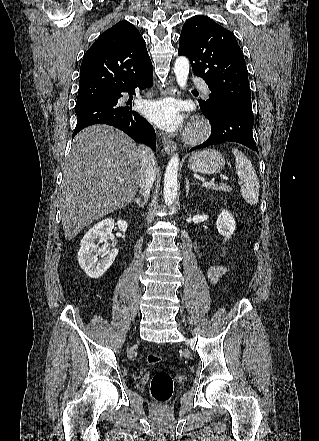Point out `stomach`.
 Masks as SVG:
<instances>
[{
    "label": "stomach",
    "mask_w": 319,
    "mask_h": 441,
    "mask_svg": "<svg viewBox=\"0 0 319 441\" xmlns=\"http://www.w3.org/2000/svg\"><path fill=\"white\" fill-rule=\"evenodd\" d=\"M225 165L224 156L215 149L194 153L188 161V169L196 173L217 174Z\"/></svg>",
    "instance_id": "0dacf381"
}]
</instances>
